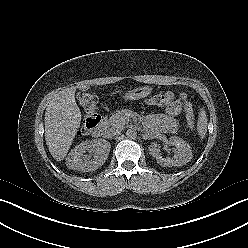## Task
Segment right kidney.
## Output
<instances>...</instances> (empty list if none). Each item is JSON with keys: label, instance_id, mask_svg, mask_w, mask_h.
Returning a JSON list of instances; mask_svg holds the SVG:
<instances>
[{"label": "right kidney", "instance_id": "ca27d5eb", "mask_svg": "<svg viewBox=\"0 0 248 248\" xmlns=\"http://www.w3.org/2000/svg\"><path fill=\"white\" fill-rule=\"evenodd\" d=\"M111 145L106 140L94 139L77 145L66 158L69 169L92 172L101 167L108 158ZM89 152L88 154H85ZM93 154V158L91 159Z\"/></svg>", "mask_w": 248, "mask_h": 248}]
</instances>
